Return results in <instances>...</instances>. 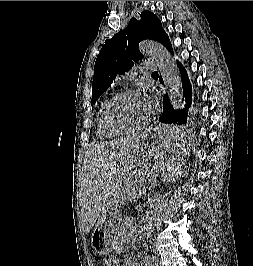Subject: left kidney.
<instances>
[{"mask_svg":"<svg viewBox=\"0 0 253 266\" xmlns=\"http://www.w3.org/2000/svg\"><path fill=\"white\" fill-rule=\"evenodd\" d=\"M146 233L138 229L135 218L127 217L122 224L121 238L122 241L128 244H136L141 241Z\"/></svg>","mask_w":253,"mask_h":266,"instance_id":"1","label":"left kidney"}]
</instances>
